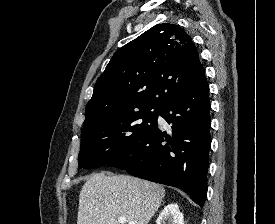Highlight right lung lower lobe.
<instances>
[{
	"label": "right lung lower lobe",
	"mask_w": 275,
	"mask_h": 224,
	"mask_svg": "<svg viewBox=\"0 0 275 224\" xmlns=\"http://www.w3.org/2000/svg\"><path fill=\"white\" fill-rule=\"evenodd\" d=\"M208 92L203 72L161 110L172 130L162 131L157 126L110 165L135 177L178 187L203 207L211 145Z\"/></svg>",
	"instance_id": "98d812e1"
}]
</instances>
